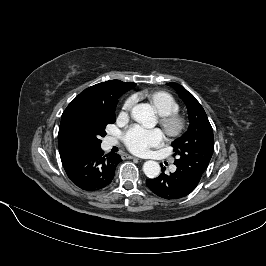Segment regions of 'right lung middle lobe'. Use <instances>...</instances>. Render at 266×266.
<instances>
[{
	"instance_id": "obj_1",
	"label": "right lung middle lobe",
	"mask_w": 266,
	"mask_h": 266,
	"mask_svg": "<svg viewBox=\"0 0 266 266\" xmlns=\"http://www.w3.org/2000/svg\"><path fill=\"white\" fill-rule=\"evenodd\" d=\"M116 105L108 109L80 106L71 113L67 127L79 150L100 147L106 126L115 122Z\"/></svg>"
}]
</instances>
